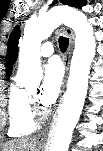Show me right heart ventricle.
<instances>
[{"mask_svg": "<svg viewBox=\"0 0 103 151\" xmlns=\"http://www.w3.org/2000/svg\"><path fill=\"white\" fill-rule=\"evenodd\" d=\"M10 137H22L32 134L36 129L31 100L28 92L12 84L9 91Z\"/></svg>", "mask_w": 103, "mask_h": 151, "instance_id": "e07e8e85", "label": "right heart ventricle"}]
</instances>
